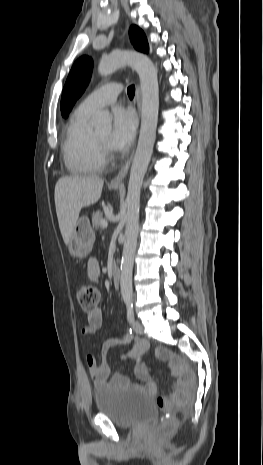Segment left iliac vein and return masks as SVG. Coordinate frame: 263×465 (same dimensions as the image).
Segmentation results:
<instances>
[{
  "instance_id": "1",
  "label": "left iliac vein",
  "mask_w": 263,
  "mask_h": 465,
  "mask_svg": "<svg viewBox=\"0 0 263 465\" xmlns=\"http://www.w3.org/2000/svg\"><path fill=\"white\" fill-rule=\"evenodd\" d=\"M133 326V330L139 334V335H142L143 332H144V327H143V324L139 321V320H136L133 322L132 324Z\"/></svg>"
}]
</instances>
